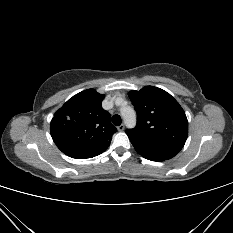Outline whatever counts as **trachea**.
Masks as SVG:
<instances>
[{"label":"trachea","mask_w":233,"mask_h":233,"mask_svg":"<svg viewBox=\"0 0 233 233\" xmlns=\"http://www.w3.org/2000/svg\"><path fill=\"white\" fill-rule=\"evenodd\" d=\"M122 120L121 117L119 115H114L112 117V123L116 126H119L121 124Z\"/></svg>","instance_id":"3493384b"}]
</instances>
